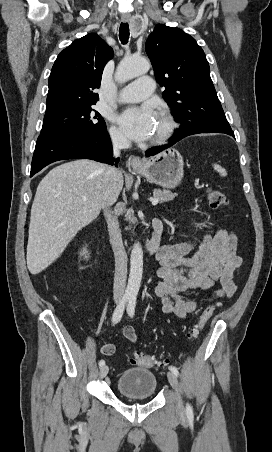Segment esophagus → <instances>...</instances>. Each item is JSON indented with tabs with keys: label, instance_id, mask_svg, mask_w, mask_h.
<instances>
[{
	"label": "esophagus",
	"instance_id": "esophagus-1",
	"mask_svg": "<svg viewBox=\"0 0 272 452\" xmlns=\"http://www.w3.org/2000/svg\"><path fill=\"white\" fill-rule=\"evenodd\" d=\"M130 18H131L130 15L125 14V15H122L121 20L123 22H128L130 20ZM130 163H131V166L134 168L139 167L143 164L142 160L137 156L133 157L131 159Z\"/></svg>",
	"mask_w": 272,
	"mask_h": 452
}]
</instances>
